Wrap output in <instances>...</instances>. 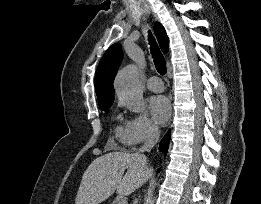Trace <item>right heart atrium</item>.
I'll return each mask as SVG.
<instances>
[{"mask_svg": "<svg viewBox=\"0 0 261 204\" xmlns=\"http://www.w3.org/2000/svg\"><path fill=\"white\" fill-rule=\"evenodd\" d=\"M126 142L137 146L152 141L158 136V126L146 113H139L126 123Z\"/></svg>", "mask_w": 261, "mask_h": 204, "instance_id": "d8ad5b80", "label": "right heart atrium"}]
</instances>
